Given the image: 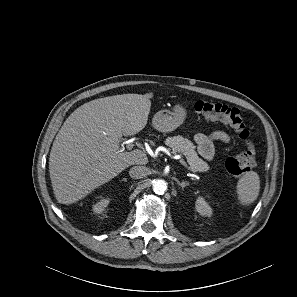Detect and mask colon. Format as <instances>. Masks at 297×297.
Here are the masks:
<instances>
[{"label": "colon", "instance_id": "5ec220e1", "mask_svg": "<svg viewBox=\"0 0 297 297\" xmlns=\"http://www.w3.org/2000/svg\"><path fill=\"white\" fill-rule=\"evenodd\" d=\"M194 110L206 119L220 120L228 124L245 144V152L235 157H229L226 160L225 165L228 172L236 177H241L251 171L256 162V149L242 112L237 108L222 103L205 100L196 101Z\"/></svg>", "mask_w": 297, "mask_h": 297}]
</instances>
